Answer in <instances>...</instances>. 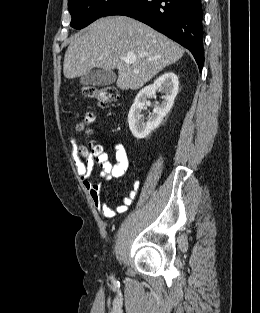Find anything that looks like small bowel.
<instances>
[{
	"mask_svg": "<svg viewBox=\"0 0 260 313\" xmlns=\"http://www.w3.org/2000/svg\"><path fill=\"white\" fill-rule=\"evenodd\" d=\"M69 142L71 146V155L77 174L81 177L82 185L88 192L94 207L98 212L107 219H113L117 215L122 214L128 210L132 204L139 182L135 181L132 190L126 195L121 202L116 204L114 208L110 207L107 202L102 199L101 189L102 181H109L121 177L129 167V157L125 147L120 143H114V159L115 162L109 161L106 154H101L99 164L101 171L99 177L95 180L90 178V162L82 161L77 154V140L73 133L69 134Z\"/></svg>",
	"mask_w": 260,
	"mask_h": 313,
	"instance_id": "c3829d8e",
	"label": "small bowel"
}]
</instances>
